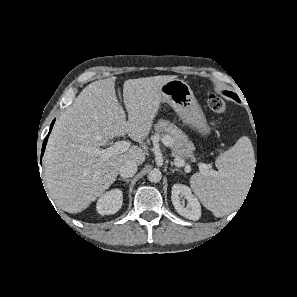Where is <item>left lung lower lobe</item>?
Here are the masks:
<instances>
[{
  "mask_svg": "<svg viewBox=\"0 0 297 297\" xmlns=\"http://www.w3.org/2000/svg\"><path fill=\"white\" fill-rule=\"evenodd\" d=\"M224 94L228 95L227 92H224ZM235 100L238 101V102H240V101H239V98H235Z\"/></svg>",
  "mask_w": 297,
  "mask_h": 297,
  "instance_id": "1",
  "label": "left lung lower lobe"
}]
</instances>
